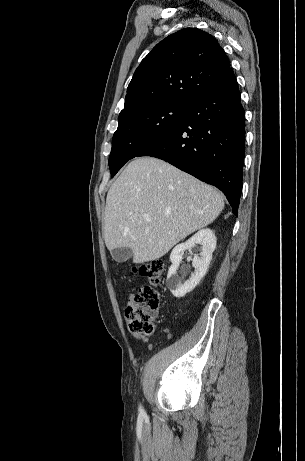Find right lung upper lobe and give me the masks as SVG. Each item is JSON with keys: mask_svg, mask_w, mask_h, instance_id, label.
Segmentation results:
<instances>
[{"mask_svg": "<svg viewBox=\"0 0 305 461\" xmlns=\"http://www.w3.org/2000/svg\"><path fill=\"white\" fill-rule=\"evenodd\" d=\"M233 76L226 53L212 35L196 28L182 29L142 60L118 119L160 103L189 104Z\"/></svg>", "mask_w": 305, "mask_h": 461, "instance_id": "cb5924a9", "label": "right lung upper lobe"}]
</instances>
